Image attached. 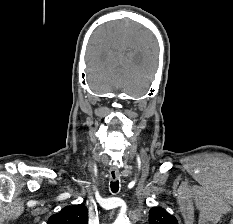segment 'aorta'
<instances>
[{
  "mask_svg": "<svg viewBox=\"0 0 233 224\" xmlns=\"http://www.w3.org/2000/svg\"><path fill=\"white\" fill-rule=\"evenodd\" d=\"M114 224H131V223L128 218L119 216L114 222Z\"/></svg>",
  "mask_w": 233,
  "mask_h": 224,
  "instance_id": "aorta-1",
  "label": "aorta"
}]
</instances>
